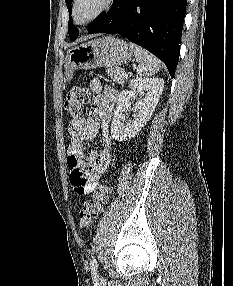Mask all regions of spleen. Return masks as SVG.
Here are the masks:
<instances>
[{"label":"spleen","instance_id":"1","mask_svg":"<svg viewBox=\"0 0 233 286\" xmlns=\"http://www.w3.org/2000/svg\"><path fill=\"white\" fill-rule=\"evenodd\" d=\"M129 47L133 50L138 62L137 73L143 76L154 75L160 70V61L150 52L130 42Z\"/></svg>","mask_w":233,"mask_h":286}]
</instances>
